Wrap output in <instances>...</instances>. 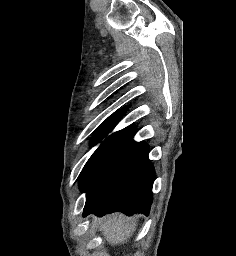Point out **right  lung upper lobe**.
Here are the masks:
<instances>
[{
	"mask_svg": "<svg viewBox=\"0 0 236 256\" xmlns=\"http://www.w3.org/2000/svg\"><path fill=\"white\" fill-rule=\"evenodd\" d=\"M124 112H125V110H122L121 112H119V114H122V113H124ZM111 118H118V119H120V118H121V115L114 116V117H111Z\"/></svg>",
	"mask_w": 236,
	"mask_h": 256,
	"instance_id": "1",
	"label": "right lung upper lobe"
}]
</instances>
